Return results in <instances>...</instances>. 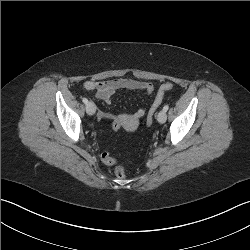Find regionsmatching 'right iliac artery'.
<instances>
[{
  "label": "right iliac artery",
  "instance_id": "obj_1",
  "mask_svg": "<svg viewBox=\"0 0 250 250\" xmlns=\"http://www.w3.org/2000/svg\"><path fill=\"white\" fill-rule=\"evenodd\" d=\"M82 101H83L84 104H87V103H88V99H87V98H83Z\"/></svg>",
  "mask_w": 250,
  "mask_h": 250
}]
</instances>
